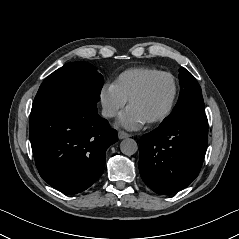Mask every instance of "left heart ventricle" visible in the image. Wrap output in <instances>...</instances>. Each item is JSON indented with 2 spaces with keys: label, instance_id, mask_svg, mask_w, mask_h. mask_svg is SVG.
<instances>
[{
  "label": "left heart ventricle",
  "instance_id": "left-heart-ventricle-1",
  "mask_svg": "<svg viewBox=\"0 0 239 239\" xmlns=\"http://www.w3.org/2000/svg\"><path fill=\"white\" fill-rule=\"evenodd\" d=\"M172 95V83L162 77L154 81L146 92L130 105L146 121L160 114L168 105Z\"/></svg>",
  "mask_w": 239,
  "mask_h": 239
}]
</instances>
